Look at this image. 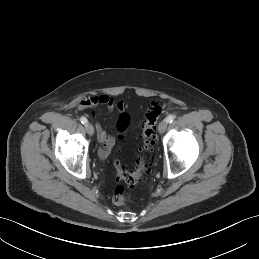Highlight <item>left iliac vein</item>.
<instances>
[{
    "label": "left iliac vein",
    "mask_w": 259,
    "mask_h": 259,
    "mask_svg": "<svg viewBox=\"0 0 259 259\" xmlns=\"http://www.w3.org/2000/svg\"><path fill=\"white\" fill-rule=\"evenodd\" d=\"M167 126H168V122L166 120H162L160 123H159V126H158V131L160 134H163L166 129H167Z\"/></svg>",
    "instance_id": "left-iliac-vein-1"
}]
</instances>
